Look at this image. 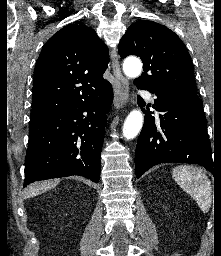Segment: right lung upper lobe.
<instances>
[{
    "label": "right lung upper lobe",
    "instance_id": "right-lung-upper-lobe-1",
    "mask_svg": "<svg viewBox=\"0 0 221 256\" xmlns=\"http://www.w3.org/2000/svg\"><path fill=\"white\" fill-rule=\"evenodd\" d=\"M108 48L96 32L70 24L44 45L34 70L31 121L90 99L111 84L102 75Z\"/></svg>",
    "mask_w": 221,
    "mask_h": 256
}]
</instances>
